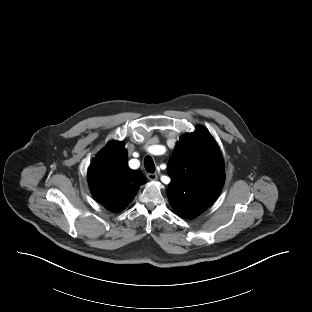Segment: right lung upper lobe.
Listing matches in <instances>:
<instances>
[{"instance_id":"right-lung-upper-lobe-1","label":"right lung upper lobe","mask_w":312,"mask_h":312,"mask_svg":"<svg viewBox=\"0 0 312 312\" xmlns=\"http://www.w3.org/2000/svg\"><path fill=\"white\" fill-rule=\"evenodd\" d=\"M124 144L109 142L97 154L88 169V181L93 196L108 210L121 211L146 182L139 170H131Z\"/></svg>"}]
</instances>
